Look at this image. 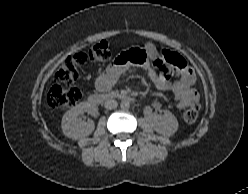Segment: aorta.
I'll return each mask as SVG.
<instances>
[{"label": "aorta", "instance_id": "aorta-1", "mask_svg": "<svg viewBox=\"0 0 248 194\" xmlns=\"http://www.w3.org/2000/svg\"><path fill=\"white\" fill-rule=\"evenodd\" d=\"M120 106H121L122 109H125V110L129 109L130 101L127 100V99H124V100L121 101Z\"/></svg>", "mask_w": 248, "mask_h": 194}]
</instances>
